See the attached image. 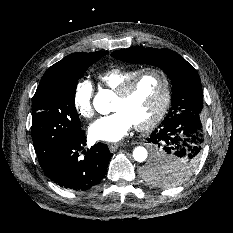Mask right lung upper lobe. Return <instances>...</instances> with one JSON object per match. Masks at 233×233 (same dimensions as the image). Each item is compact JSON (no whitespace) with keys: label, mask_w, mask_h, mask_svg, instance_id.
<instances>
[{"label":"right lung upper lobe","mask_w":233,"mask_h":233,"mask_svg":"<svg viewBox=\"0 0 233 233\" xmlns=\"http://www.w3.org/2000/svg\"><path fill=\"white\" fill-rule=\"evenodd\" d=\"M87 54H89V53H73V54L66 56L61 61L52 65L44 73L43 77L55 74V73L65 69V68H68L69 66H72V65L78 63V61H80L82 58H84Z\"/></svg>","instance_id":"right-lung-upper-lobe-1"}]
</instances>
